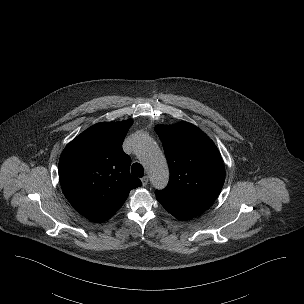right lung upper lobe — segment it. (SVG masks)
Wrapping results in <instances>:
<instances>
[{
    "label": "right lung upper lobe",
    "mask_w": 304,
    "mask_h": 304,
    "mask_svg": "<svg viewBox=\"0 0 304 304\" xmlns=\"http://www.w3.org/2000/svg\"><path fill=\"white\" fill-rule=\"evenodd\" d=\"M132 123L95 124L73 139L60 156L59 180L65 197L94 222L110 219L130 190L142 185L130 174L131 160L122 150Z\"/></svg>",
    "instance_id": "cb5924a9"
}]
</instances>
